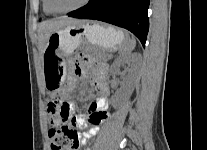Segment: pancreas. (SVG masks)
Returning <instances> with one entry per match:
<instances>
[{
  "mask_svg": "<svg viewBox=\"0 0 207 150\" xmlns=\"http://www.w3.org/2000/svg\"><path fill=\"white\" fill-rule=\"evenodd\" d=\"M108 55L105 54L104 57L102 58V61H106L107 60Z\"/></svg>",
  "mask_w": 207,
  "mask_h": 150,
  "instance_id": "cf45deb5",
  "label": "pancreas"
}]
</instances>
